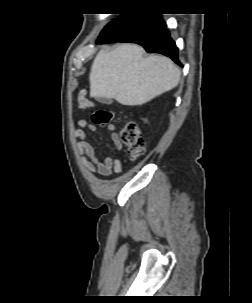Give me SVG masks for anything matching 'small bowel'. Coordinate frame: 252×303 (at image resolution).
<instances>
[{
    "label": "small bowel",
    "mask_w": 252,
    "mask_h": 303,
    "mask_svg": "<svg viewBox=\"0 0 252 303\" xmlns=\"http://www.w3.org/2000/svg\"><path fill=\"white\" fill-rule=\"evenodd\" d=\"M77 126L78 129H76L74 132V138L78 142V151L86 169L92 173H98L103 176H109L112 173H119L122 170V163L119 157L115 159L106 157L102 162H100L95 155L94 148L89 142L86 141V133L84 128L95 131L96 126L89 124L85 119L78 120ZM107 129L111 132V140L118 155H120L122 153V145L116 133L115 124H109Z\"/></svg>",
    "instance_id": "c3829d8e"
}]
</instances>
